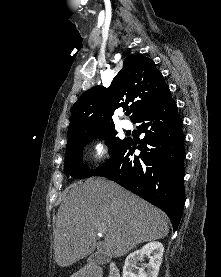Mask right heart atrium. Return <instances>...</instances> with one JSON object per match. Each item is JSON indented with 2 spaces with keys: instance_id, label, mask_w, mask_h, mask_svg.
<instances>
[{
  "instance_id": "d8ad5b80",
  "label": "right heart atrium",
  "mask_w": 221,
  "mask_h": 277,
  "mask_svg": "<svg viewBox=\"0 0 221 277\" xmlns=\"http://www.w3.org/2000/svg\"><path fill=\"white\" fill-rule=\"evenodd\" d=\"M91 155L94 158H103L106 155V147L102 141H97L91 151Z\"/></svg>"
}]
</instances>
